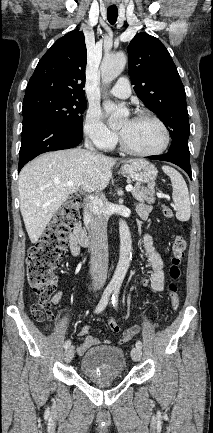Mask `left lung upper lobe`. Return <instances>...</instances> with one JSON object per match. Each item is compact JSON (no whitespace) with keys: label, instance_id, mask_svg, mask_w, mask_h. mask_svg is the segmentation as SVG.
<instances>
[{"label":"left lung upper lobe","instance_id":"left-lung-upper-lobe-1","mask_svg":"<svg viewBox=\"0 0 213 433\" xmlns=\"http://www.w3.org/2000/svg\"><path fill=\"white\" fill-rule=\"evenodd\" d=\"M128 68L134 91L157 114L171 134L169 151L189 154L186 94L177 68L161 41L137 34L128 46Z\"/></svg>","mask_w":213,"mask_h":433}]
</instances>
